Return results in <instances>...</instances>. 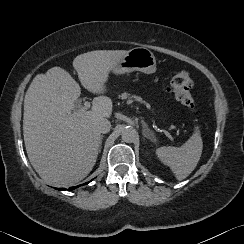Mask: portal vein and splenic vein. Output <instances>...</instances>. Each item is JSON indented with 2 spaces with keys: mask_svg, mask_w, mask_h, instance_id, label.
I'll return each mask as SVG.
<instances>
[{
  "mask_svg": "<svg viewBox=\"0 0 244 244\" xmlns=\"http://www.w3.org/2000/svg\"><path fill=\"white\" fill-rule=\"evenodd\" d=\"M90 106H91L90 102L86 101V102H84L83 106H81L78 110H76V111L74 112V114H75V115L82 114V113L85 112L88 108H90ZM168 137L170 138V140H172V141L174 140L173 136H172L170 133H168Z\"/></svg>",
  "mask_w": 244,
  "mask_h": 244,
  "instance_id": "obj_1",
  "label": "portal vein and splenic vein"
}]
</instances>
